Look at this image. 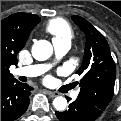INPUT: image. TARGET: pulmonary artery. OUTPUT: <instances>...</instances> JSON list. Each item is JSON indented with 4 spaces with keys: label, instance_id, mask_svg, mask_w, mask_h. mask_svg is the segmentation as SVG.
Segmentation results:
<instances>
[{
    "label": "pulmonary artery",
    "instance_id": "1",
    "mask_svg": "<svg viewBox=\"0 0 121 121\" xmlns=\"http://www.w3.org/2000/svg\"><path fill=\"white\" fill-rule=\"evenodd\" d=\"M71 47L70 41L60 42V43H54V48L57 53V55L63 56L65 55ZM48 69L47 65H30L26 67H20L14 70L13 74L15 76H26V77H35L43 72H45ZM78 92L74 91L71 93L72 98H77Z\"/></svg>",
    "mask_w": 121,
    "mask_h": 121
}]
</instances>
